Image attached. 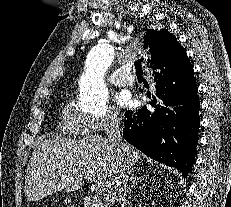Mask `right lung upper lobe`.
Segmentation results:
<instances>
[{
    "label": "right lung upper lobe",
    "instance_id": "obj_1",
    "mask_svg": "<svg viewBox=\"0 0 231 207\" xmlns=\"http://www.w3.org/2000/svg\"><path fill=\"white\" fill-rule=\"evenodd\" d=\"M151 32V36L144 39V46L149 48L152 65H157L160 62L165 65H176L182 61H189L184 48L176 41L175 36L164 29H153Z\"/></svg>",
    "mask_w": 231,
    "mask_h": 207
}]
</instances>
